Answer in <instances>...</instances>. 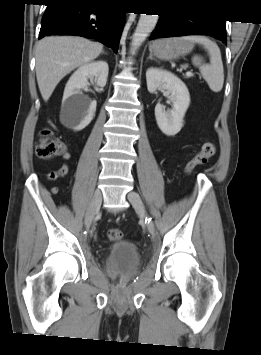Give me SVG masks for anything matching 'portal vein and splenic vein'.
<instances>
[{"instance_id": "portal-vein-and-splenic-vein-1", "label": "portal vein and splenic vein", "mask_w": 261, "mask_h": 355, "mask_svg": "<svg viewBox=\"0 0 261 355\" xmlns=\"http://www.w3.org/2000/svg\"><path fill=\"white\" fill-rule=\"evenodd\" d=\"M193 75H194V74H193L191 71H187V72H186V76H187V77H192Z\"/></svg>"}]
</instances>
